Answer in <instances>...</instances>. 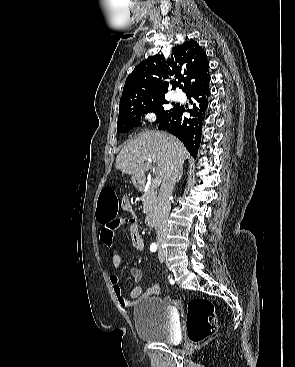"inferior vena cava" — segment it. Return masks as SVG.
Returning a JSON list of instances; mask_svg holds the SVG:
<instances>
[{
    "mask_svg": "<svg viewBox=\"0 0 295 367\" xmlns=\"http://www.w3.org/2000/svg\"><path fill=\"white\" fill-rule=\"evenodd\" d=\"M182 169V164L174 163L166 177L163 179L160 192L158 196L157 219H156V233L157 244L159 246L166 239L168 232V217L171 209L170 196L173 192L176 181H178Z\"/></svg>",
    "mask_w": 295,
    "mask_h": 367,
    "instance_id": "inferior-vena-cava-1",
    "label": "inferior vena cava"
}]
</instances>
